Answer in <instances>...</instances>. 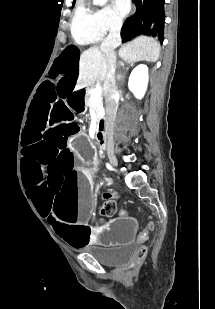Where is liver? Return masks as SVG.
Returning a JSON list of instances; mask_svg holds the SVG:
<instances>
[{
    "instance_id": "1",
    "label": "liver",
    "mask_w": 215,
    "mask_h": 309,
    "mask_svg": "<svg viewBox=\"0 0 215 309\" xmlns=\"http://www.w3.org/2000/svg\"><path fill=\"white\" fill-rule=\"evenodd\" d=\"M119 56L126 62L150 60L155 62L160 54V44L152 36H137L130 42L121 44ZM107 72V58L99 46H90L80 54L78 80L74 90L91 86L95 80H104Z\"/></svg>"
}]
</instances>
